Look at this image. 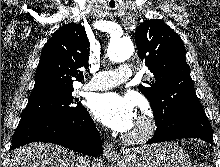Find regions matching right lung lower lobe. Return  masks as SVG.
<instances>
[{
    "label": "right lung lower lobe",
    "mask_w": 220,
    "mask_h": 167,
    "mask_svg": "<svg viewBox=\"0 0 220 167\" xmlns=\"http://www.w3.org/2000/svg\"><path fill=\"white\" fill-rule=\"evenodd\" d=\"M41 141L96 157L102 153L99 132L83 107L72 115L47 114L21 119L10 149Z\"/></svg>",
    "instance_id": "obj_1"
}]
</instances>
